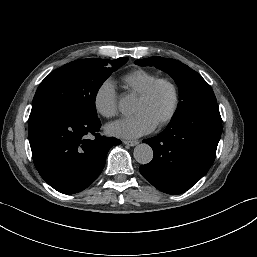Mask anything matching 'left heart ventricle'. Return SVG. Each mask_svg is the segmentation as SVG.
Returning a JSON list of instances; mask_svg holds the SVG:
<instances>
[{
  "label": "left heart ventricle",
  "instance_id": "b2bd125f",
  "mask_svg": "<svg viewBox=\"0 0 257 257\" xmlns=\"http://www.w3.org/2000/svg\"><path fill=\"white\" fill-rule=\"evenodd\" d=\"M173 97L167 85H161L147 100L136 99L134 113H145L158 124L171 110Z\"/></svg>",
  "mask_w": 257,
  "mask_h": 257
}]
</instances>
